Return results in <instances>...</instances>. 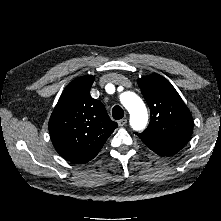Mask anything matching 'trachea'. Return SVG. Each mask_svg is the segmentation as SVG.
Instances as JSON below:
<instances>
[{"label":"trachea","mask_w":221,"mask_h":221,"mask_svg":"<svg viewBox=\"0 0 221 221\" xmlns=\"http://www.w3.org/2000/svg\"><path fill=\"white\" fill-rule=\"evenodd\" d=\"M112 116L116 120L123 118L124 117L123 109L118 105L114 106L112 109Z\"/></svg>","instance_id":"obj_1"}]
</instances>
